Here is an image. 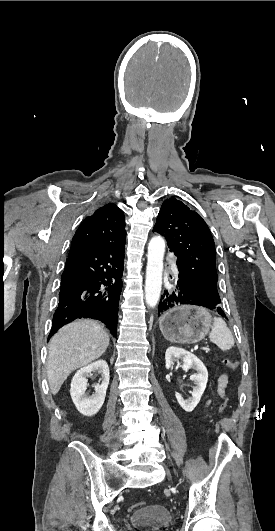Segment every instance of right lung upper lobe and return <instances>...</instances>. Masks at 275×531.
I'll return each instance as SVG.
<instances>
[{
	"mask_svg": "<svg viewBox=\"0 0 275 531\" xmlns=\"http://www.w3.org/2000/svg\"><path fill=\"white\" fill-rule=\"evenodd\" d=\"M123 211L115 204H106L88 216L77 229L69 254L85 251L104 243L122 244L126 240Z\"/></svg>",
	"mask_w": 275,
	"mask_h": 531,
	"instance_id": "1",
	"label": "right lung upper lobe"
}]
</instances>
